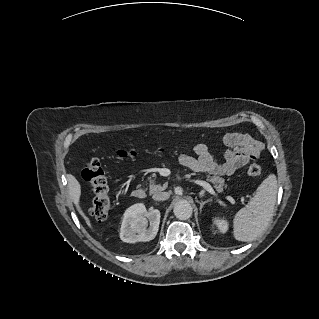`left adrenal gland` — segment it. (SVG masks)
<instances>
[{"instance_id": "obj_1", "label": "left adrenal gland", "mask_w": 319, "mask_h": 319, "mask_svg": "<svg viewBox=\"0 0 319 319\" xmlns=\"http://www.w3.org/2000/svg\"><path fill=\"white\" fill-rule=\"evenodd\" d=\"M210 201H211V199H207V200H205V201H197V203L200 204V211H202L203 206H204L206 203L210 202Z\"/></svg>"}]
</instances>
